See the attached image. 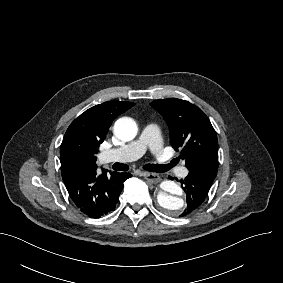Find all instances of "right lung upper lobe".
Masks as SVG:
<instances>
[{
	"instance_id": "1",
	"label": "right lung upper lobe",
	"mask_w": 283,
	"mask_h": 283,
	"mask_svg": "<svg viewBox=\"0 0 283 283\" xmlns=\"http://www.w3.org/2000/svg\"><path fill=\"white\" fill-rule=\"evenodd\" d=\"M133 105L134 103L127 101H107L83 112L68 127L61 145V154L78 151L85 157L83 169H96V154L112 121Z\"/></svg>"
}]
</instances>
